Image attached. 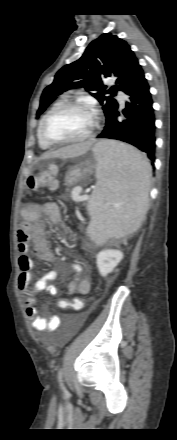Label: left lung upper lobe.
Wrapping results in <instances>:
<instances>
[{"label":"left lung upper lobe","instance_id":"5c2ea615","mask_svg":"<svg viewBox=\"0 0 177 440\" xmlns=\"http://www.w3.org/2000/svg\"><path fill=\"white\" fill-rule=\"evenodd\" d=\"M141 70L138 59L126 41L111 33L102 34L89 44L80 59L65 65L56 73L53 83L43 91L37 118L62 92L84 87L86 91L94 92L91 95L100 102L107 119L118 103L104 94L116 95L117 90L125 92ZM105 78L115 79L116 85L105 90Z\"/></svg>","mask_w":177,"mask_h":440}]
</instances>
